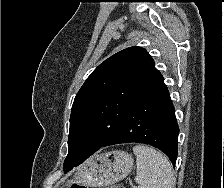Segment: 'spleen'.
<instances>
[{
	"label": "spleen",
	"mask_w": 224,
	"mask_h": 188,
	"mask_svg": "<svg viewBox=\"0 0 224 188\" xmlns=\"http://www.w3.org/2000/svg\"><path fill=\"white\" fill-rule=\"evenodd\" d=\"M136 155V183L139 188H173L172 166L162 153L152 147L138 144L133 147Z\"/></svg>",
	"instance_id": "1"
}]
</instances>
